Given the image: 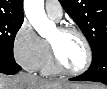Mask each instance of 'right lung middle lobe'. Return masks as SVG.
Returning a JSON list of instances; mask_svg holds the SVG:
<instances>
[{"label": "right lung middle lobe", "mask_w": 107, "mask_h": 89, "mask_svg": "<svg viewBox=\"0 0 107 89\" xmlns=\"http://www.w3.org/2000/svg\"><path fill=\"white\" fill-rule=\"evenodd\" d=\"M23 19H13L0 16V60L15 63L13 45L16 33L20 29Z\"/></svg>", "instance_id": "1"}]
</instances>
